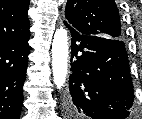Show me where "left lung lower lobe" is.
<instances>
[{"label":"left lung lower lobe","mask_w":142,"mask_h":119,"mask_svg":"<svg viewBox=\"0 0 142 119\" xmlns=\"http://www.w3.org/2000/svg\"><path fill=\"white\" fill-rule=\"evenodd\" d=\"M71 33L69 106L92 119H126L134 102L124 42Z\"/></svg>","instance_id":"0a47b994"}]
</instances>
